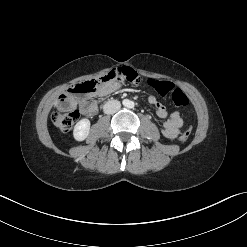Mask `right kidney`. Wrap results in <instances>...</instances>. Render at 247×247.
I'll return each mask as SVG.
<instances>
[{"label": "right kidney", "mask_w": 247, "mask_h": 247, "mask_svg": "<svg viewBox=\"0 0 247 247\" xmlns=\"http://www.w3.org/2000/svg\"><path fill=\"white\" fill-rule=\"evenodd\" d=\"M90 131V121L86 118L81 119L74 126L73 137L76 141H83L87 138Z\"/></svg>", "instance_id": "obj_1"}]
</instances>
